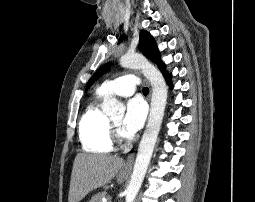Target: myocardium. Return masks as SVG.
Segmentation results:
<instances>
[{
  "label": "myocardium",
  "mask_w": 255,
  "mask_h": 202,
  "mask_svg": "<svg viewBox=\"0 0 255 202\" xmlns=\"http://www.w3.org/2000/svg\"><path fill=\"white\" fill-rule=\"evenodd\" d=\"M110 125L112 140L120 144L123 143L127 137L123 134L121 128L117 126L113 121H110Z\"/></svg>",
  "instance_id": "1"
}]
</instances>
